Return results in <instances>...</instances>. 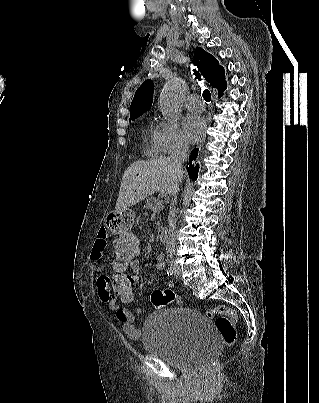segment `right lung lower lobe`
Listing matches in <instances>:
<instances>
[{
	"label": "right lung lower lobe",
	"mask_w": 319,
	"mask_h": 403,
	"mask_svg": "<svg viewBox=\"0 0 319 403\" xmlns=\"http://www.w3.org/2000/svg\"><path fill=\"white\" fill-rule=\"evenodd\" d=\"M221 97V96H219ZM198 155V149L195 148L192 150L191 155L189 157V161L192 162L196 159ZM189 177L193 180H196L197 176H198V169H199V165L197 164L196 166H194L193 164H189L186 166Z\"/></svg>",
	"instance_id": "right-lung-lower-lobe-1"
}]
</instances>
